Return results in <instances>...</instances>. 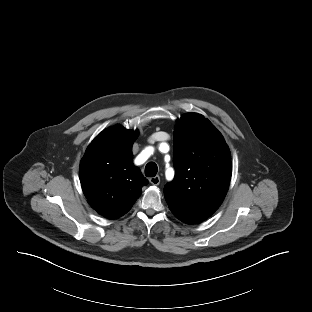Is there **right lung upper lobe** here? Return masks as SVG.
Returning a JSON list of instances; mask_svg holds the SVG:
<instances>
[{
    "instance_id": "1",
    "label": "right lung upper lobe",
    "mask_w": 312,
    "mask_h": 312,
    "mask_svg": "<svg viewBox=\"0 0 312 312\" xmlns=\"http://www.w3.org/2000/svg\"><path fill=\"white\" fill-rule=\"evenodd\" d=\"M138 131L121 125L102 131L80 163V182L88 203L102 216L117 219L127 213L148 184L132 163Z\"/></svg>"
}]
</instances>
